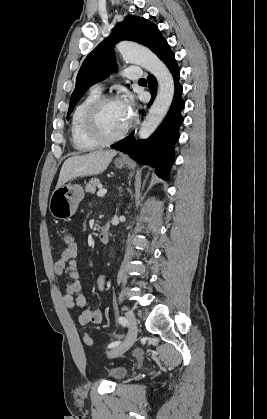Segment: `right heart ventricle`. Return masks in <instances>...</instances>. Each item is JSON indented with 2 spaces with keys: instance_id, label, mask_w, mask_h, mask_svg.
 Instances as JSON below:
<instances>
[{
  "instance_id": "right-heart-ventricle-1",
  "label": "right heart ventricle",
  "mask_w": 267,
  "mask_h": 419,
  "mask_svg": "<svg viewBox=\"0 0 267 419\" xmlns=\"http://www.w3.org/2000/svg\"><path fill=\"white\" fill-rule=\"evenodd\" d=\"M99 97L101 93L91 90L75 107L71 117V141L73 147L79 152H89L97 149L100 144L93 141L84 128V117L89 106Z\"/></svg>"
}]
</instances>
